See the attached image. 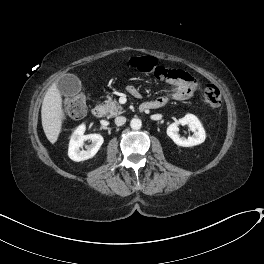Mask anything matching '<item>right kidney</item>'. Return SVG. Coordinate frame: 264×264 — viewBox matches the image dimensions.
Returning <instances> with one entry per match:
<instances>
[{"label": "right kidney", "mask_w": 264, "mask_h": 264, "mask_svg": "<svg viewBox=\"0 0 264 264\" xmlns=\"http://www.w3.org/2000/svg\"><path fill=\"white\" fill-rule=\"evenodd\" d=\"M84 131L85 125H79L70 139L68 156L70 159L76 162L92 158L98 152L104 142V139L100 134L84 135ZM87 140H90L92 143L88 146H85L86 150H81L85 141Z\"/></svg>", "instance_id": "right-kidney-1"}]
</instances>
